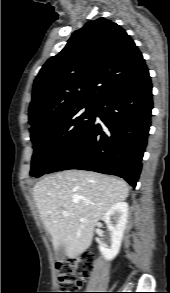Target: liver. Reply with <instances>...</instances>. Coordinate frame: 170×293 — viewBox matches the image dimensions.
Masks as SVG:
<instances>
[{"label":"liver","mask_w":170,"mask_h":293,"mask_svg":"<svg viewBox=\"0 0 170 293\" xmlns=\"http://www.w3.org/2000/svg\"><path fill=\"white\" fill-rule=\"evenodd\" d=\"M127 184L104 174L66 170L44 177L33 188L34 200L55 251L69 258L91 245L96 223L116 203L128 197ZM67 211L68 216L62 212Z\"/></svg>","instance_id":"liver-1"}]
</instances>
